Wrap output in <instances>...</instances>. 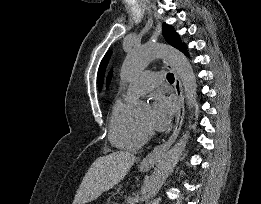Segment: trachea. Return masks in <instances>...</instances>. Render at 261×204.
Listing matches in <instances>:
<instances>
[{"instance_id": "1", "label": "trachea", "mask_w": 261, "mask_h": 204, "mask_svg": "<svg viewBox=\"0 0 261 204\" xmlns=\"http://www.w3.org/2000/svg\"><path fill=\"white\" fill-rule=\"evenodd\" d=\"M167 80H168L169 82H174V75H173L172 73H168V74H167Z\"/></svg>"}]
</instances>
